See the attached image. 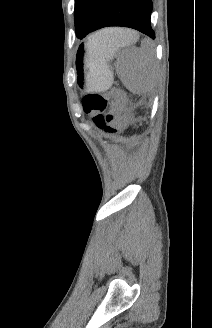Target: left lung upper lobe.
Instances as JSON below:
<instances>
[{
	"instance_id": "5c2ea615",
	"label": "left lung upper lobe",
	"mask_w": 212,
	"mask_h": 328,
	"mask_svg": "<svg viewBox=\"0 0 212 328\" xmlns=\"http://www.w3.org/2000/svg\"><path fill=\"white\" fill-rule=\"evenodd\" d=\"M103 2L104 0H75V27L79 39L89 33Z\"/></svg>"
}]
</instances>
